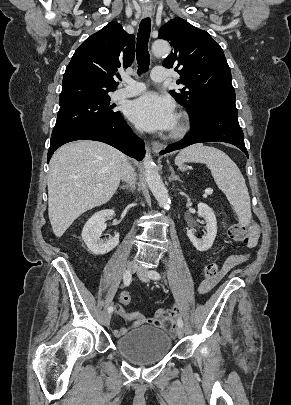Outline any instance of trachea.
<instances>
[{
	"instance_id": "obj_1",
	"label": "trachea",
	"mask_w": 291,
	"mask_h": 405,
	"mask_svg": "<svg viewBox=\"0 0 291 405\" xmlns=\"http://www.w3.org/2000/svg\"><path fill=\"white\" fill-rule=\"evenodd\" d=\"M150 31L151 20L147 17L140 22L137 35L136 58L138 63L137 73L139 75L145 73L149 67L150 55L148 52V41Z\"/></svg>"
}]
</instances>
